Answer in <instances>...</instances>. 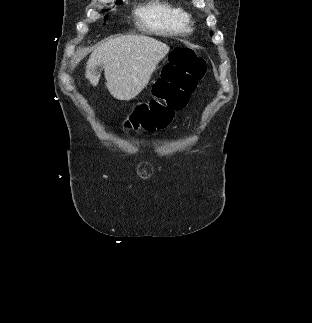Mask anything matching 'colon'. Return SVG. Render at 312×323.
<instances>
[{
    "mask_svg": "<svg viewBox=\"0 0 312 323\" xmlns=\"http://www.w3.org/2000/svg\"><path fill=\"white\" fill-rule=\"evenodd\" d=\"M205 64L191 48H176L164 67L163 78L156 80L158 98L135 105L128 125L136 130L165 129L173 121V110L181 109L195 88V81L205 73ZM162 102H161V101Z\"/></svg>",
    "mask_w": 312,
    "mask_h": 323,
    "instance_id": "1",
    "label": "colon"
}]
</instances>
